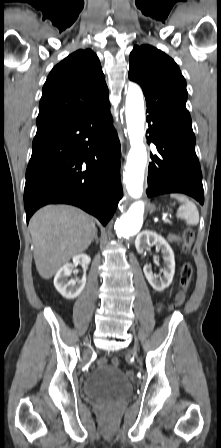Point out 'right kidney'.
<instances>
[{"instance_id": "obj_1", "label": "right kidney", "mask_w": 221, "mask_h": 448, "mask_svg": "<svg viewBox=\"0 0 221 448\" xmlns=\"http://www.w3.org/2000/svg\"><path fill=\"white\" fill-rule=\"evenodd\" d=\"M91 259L86 254H78L73 257V263L63 265L54 277V286L56 290L66 299H74L80 295L86 284V273L80 280H68L73 268L80 264L83 268L87 267Z\"/></svg>"}]
</instances>
